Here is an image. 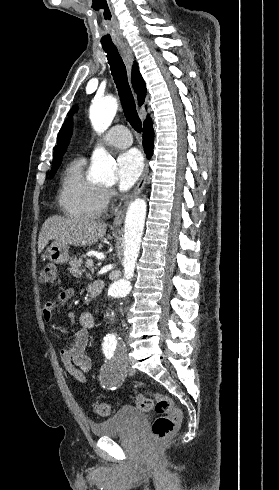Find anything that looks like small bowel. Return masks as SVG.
I'll return each mask as SVG.
<instances>
[{"label":"small bowel","instance_id":"obj_1","mask_svg":"<svg viewBox=\"0 0 279 490\" xmlns=\"http://www.w3.org/2000/svg\"><path fill=\"white\" fill-rule=\"evenodd\" d=\"M95 291V286L90 287V292ZM74 296L73 289H66L60 292L56 297L46 302L43 310V319L50 321L54 312L70 301ZM79 330L72 341L65 346L60 352V359L67 375L73 376L79 381L86 382L84 373L91 368V360L86 353V345L89 337V331L95 327V320L88 312H82L79 315Z\"/></svg>","mask_w":279,"mask_h":490}]
</instances>
